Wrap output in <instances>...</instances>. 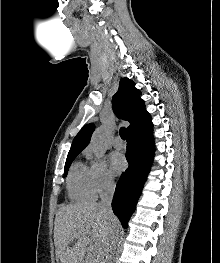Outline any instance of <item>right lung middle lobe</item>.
Listing matches in <instances>:
<instances>
[{
    "label": "right lung middle lobe",
    "mask_w": 220,
    "mask_h": 263,
    "mask_svg": "<svg viewBox=\"0 0 220 263\" xmlns=\"http://www.w3.org/2000/svg\"><path fill=\"white\" fill-rule=\"evenodd\" d=\"M78 154H74V155H69L67 156V160H66V163H65V169H64V175L66 176L67 175V172H68V169L72 163V161L76 158Z\"/></svg>",
    "instance_id": "right-lung-middle-lobe-1"
}]
</instances>
